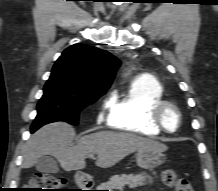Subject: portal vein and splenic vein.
<instances>
[{
  "instance_id": "obj_1",
  "label": "portal vein and splenic vein",
  "mask_w": 218,
  "mask_h": 191,
  "mask_svg": "<svg viewBox=\"0 0 218 191\" xmlns=\"http://www.w3.org/2000/svg\"><path fill=\"white\" fill-rule=\"evenodd\" d=\"M89 157H90V158H94V155H93V154H90Z\"/></svg>"
}]
</instances>
